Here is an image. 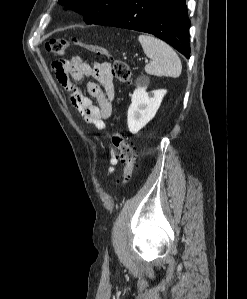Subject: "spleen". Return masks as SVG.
I'll list each match as a JSON object with an SVG mask.
<instances>
[{"mask_svg": "<svg viewBox=\"0 0 247 299\" xmlns=\"http://www.w3.org/2000/svg\"><path fill=\"white\" fill-rule=\"evenodd\" d=\"M144 53L152 60L145 66V72L155 76L177 78L182 71V63L177 53L164 41L150 35L138 37Z\"/></svg>", "mask_w": 247, "mask_h": 299, "instance_id": "1", "label": "spleen"}]
</instances>
